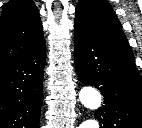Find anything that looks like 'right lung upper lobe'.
<instances>
[{
    "label": "right lung upper lobe",
    "instance_id": "1",
    "mask_svg": "<svg viewBox=\"0 0 142 128\" xmlns=\"http://www.w3.org/2000/svg\"><path fill=\"white\" fill-rule=\"evenodd\" d=\"M39 11L32 0H11L0 17V69L44 43Z\"/></svg>",
    "mask_w": 142,
    "mask_h": 128
}]
</instances>
